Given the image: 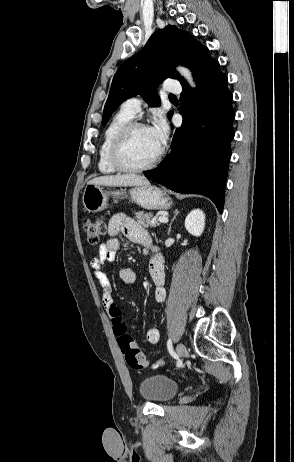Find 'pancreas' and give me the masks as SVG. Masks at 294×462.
Returning <instances> with one entry per match:
<instances>
[{
	"label": "pancreas",
	"instance_id": "cf45deb5",
	"mask_svg": "<svg viewBox=\"0 0 294 462\" xmlns=\"http://www.w3.org/2000/svg\"><path fill=\"white\" fill-rule=\"evenodd\" d=\"M135 219L139 224H141L144 227H155L158 225L157 221H155L154 223L152 222L153 220L151 219V214H147L142 211L135 213Z\"/></svg>",
	"mask_w": 294,
	"mask_h": 462
}]
</instances>
